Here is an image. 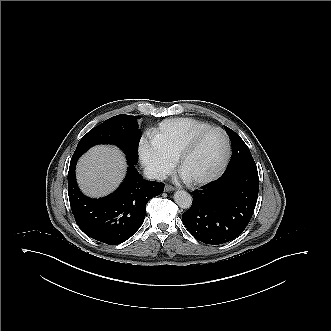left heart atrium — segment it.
Instances as JSON below:
<instances>
[{
    "label": "left heart atrium",
    "mask_w": 331,
    "mask_h": 331,
    "mask_svg": "<svg viewBox=\"0 0 331 331\" xmlns=\"http://www.w3.org/2000/svg\"><path fill=\"white\" fill-rule=\"evenodd\" d=\"M184 177H185L186 179H188V177H187V176H185V175H184Z\"/></svg>",
    "instance_id": "obj_1"
}]
</instances>
